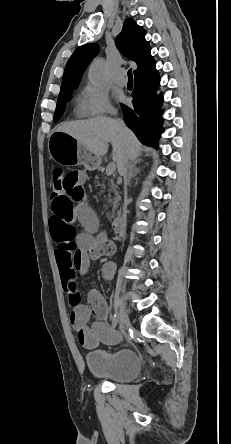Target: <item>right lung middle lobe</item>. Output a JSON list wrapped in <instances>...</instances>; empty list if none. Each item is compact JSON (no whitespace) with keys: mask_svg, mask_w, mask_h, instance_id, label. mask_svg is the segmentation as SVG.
I'll use <instances>...</instances> for the list:
<instances>
[{"mask_svg":"<svg viewBox=\"0 0 231 444\" xmlns=\"http://www.w3.org/2000/svg\"><path fill=\"white\" fill-rule=\"evenodd\" d=\"M73 89L69 91H65L59 94L57 106L54 114V122H56L64 112L65 102L67 98L71 95Z\"/></svg>","mask_w":231,"mask_h":444,"instance_id":"1","label":"right lung middle lobe"}]
</instances>
